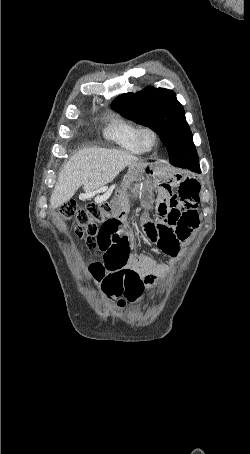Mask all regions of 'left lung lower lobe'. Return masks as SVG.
I'll return each instance as SVG.
<instances>
[{"label":"left lung lower lobe","instance_id":"obj_1","mask_svg":"<svg viewBox=\"0 0 250 454\" xmlns=\"http://www.w3.org/2000/svg\"><path fill=\"white\" fill-rule=\"evenodd\" d=\"M170 163L176 167L187 168L194 172H200L198 156L192 153L173 155Z\"/></svg>","mask_w":250,"mask_h":454}]
</instances>
